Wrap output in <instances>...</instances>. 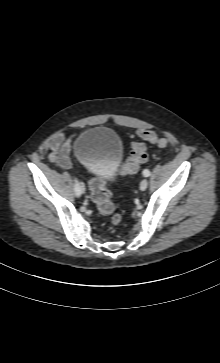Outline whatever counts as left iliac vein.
Returning a JSON list of instances; mask_svg holds the SVG:
<instances>
[{"instance_id": "obj_1", "label": "left iliac vein", "mask_w": 220, "mask_h": 363, "mask_svg": "<svg viewBox=\"0 0 220 363\" xmlns=\"http://www.w3.org/2000/svg\"><path fill=\"white\" fill-rule=\"evenodd\" d=\"M148 186V181L146 179H143L141 182H140V190L141 191H145L146 188Z\"/></svg>"}]
</instances>
